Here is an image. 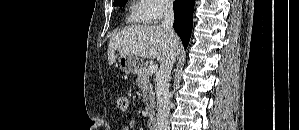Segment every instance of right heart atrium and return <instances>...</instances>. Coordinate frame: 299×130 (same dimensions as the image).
<instances>
[{
    "label": "right heart atrium",
    "mask_w": 299,
    "mask_h": 130,
    "mask_svg": "<svg viewBox=\"0 0 299 130\" xmlns=\"http://www.w3.org/2000/svg\"><path fill=\"white\" fill-rule=\"evenodd\" d=\"M141 2L144 6L147 22L159 21L172 8V1L169 0H143Z\"/></svg>",
    "instance_id": "d8ad5b80"
}]
</instances>
